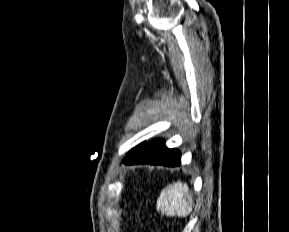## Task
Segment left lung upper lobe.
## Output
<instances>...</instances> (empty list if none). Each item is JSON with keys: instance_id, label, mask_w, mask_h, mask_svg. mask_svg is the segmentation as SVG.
Segmentation results:
<instances>
[{"instance_id": "5c2ea615", "label": "left lung upper lobe", "mask_w": 289, "mask_h": 232, "mask_svg": "<svg viewBox=\"0 0 289 232\" xmlns=\"http://www.w3.org/2000/svg\"><path fill=\"white\" fill-rule=\"evenodd\" d=\"M142 144L138 145L137 147H135L134 149H132L130 151V153L127 155V157H130V155H132ZM125 160V159H124Z\"/></svg>"}]
</instances>
